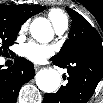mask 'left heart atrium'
<instances>
[{
  "label": "left heart atrium",
  "instance_id": "39dd6f15",
  "mask_svg": "<svg viewBox=\"0 0 103 103\" xmlns=\"http://www.w3.org/2000/svg\"><path fill=\"white\" fill-rule=\"evenodd\" d=\"M52 53V47L36 42H28L20 48V54L35 63L43 62Z\"/></svg>",
  "mask_w": 103,
  "mask_h": 103
}]
</instances>
